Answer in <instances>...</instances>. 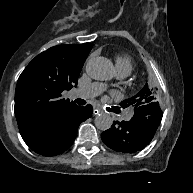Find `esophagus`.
Here are the masks:
<instances>
[{"label":"esophagus","instance_id":"obj_1","mask_svg":"<svg viewBox=\"0 0 193 193\" xmlns=\"http://www.w3.org/2000/svg\"><path fill=\"white\" fill-rule=\"evenodd\" d=\"M100 113V109L94 108L93 115H98Z\"/></svg>","mask_w":193,"mask_h":193}]
</instances>
